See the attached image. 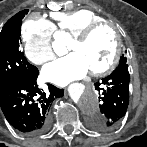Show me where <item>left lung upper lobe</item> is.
Masks as SVG:
<instances>
[{
	"label": "left lung upper lobe",
	"instance_id": "5c2ea615",
	"mask_svg": "<svg viewBox=\"0 0 147 147\" xmlns=\"http://www.w3.org/2000/svg\"><path fill=\"white\" fill-rule=\"evenodd\" d=\"M126 60H127V58L124 55H122L121 58H120V64L119 65L125 64Z\"/></svg>",
	"mask_w": 147,
	"mask_h": 147
}]
</instances>
